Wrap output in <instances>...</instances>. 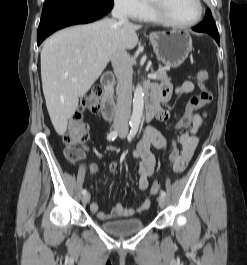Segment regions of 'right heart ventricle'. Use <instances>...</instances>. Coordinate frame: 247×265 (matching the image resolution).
Masks as SVG:
<instances>
[{"label":"right heart ventricle","instance_id":"right-heart-ventricle-1","mask_svg":"<svg viewBox=\"0 0 247 265\" xmlns=\"http://www.w3.org/2000/svg\"><path fill=\"white\" fill-rule=\"evenodd\" d=\"M139 19L143 21H148V22H157L155 17L150 12V9L148 6L146 7V10L144 11V13L141 15Z\"/></svg>","mask_w":247,"mask_h":265}]
</instances>
